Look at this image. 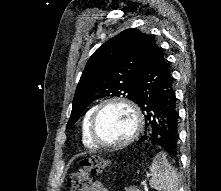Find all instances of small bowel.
I'll return each instance as SVG.
<instances>
[{
    "label": "small bowel",
    "instance_id": "c3829d8e",
    "mask_svg": "<svg viewBox=\"0 0 221 191\" xmlns=\"http://www.w3.org/2000/svg\"><path fill=\"white\" fill-rule=\"evenodd\" d=\"M89 191H106L104 184L101 181H94L89 187Z\"/></svg>",
    "mask_w": 221,
    "mask_h": 191
}]
</instances>
